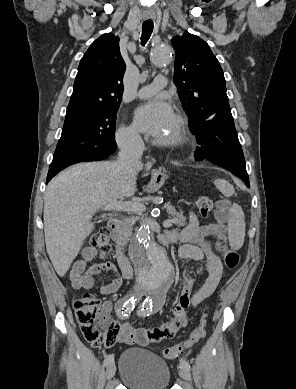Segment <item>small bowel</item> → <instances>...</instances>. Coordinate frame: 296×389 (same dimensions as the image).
<instances>
[{
  "mask_svg": "<svg viewBox=\"0 0 296 389\" xmlns=\"http://www.w3.org/2000/svg\"><path fill=\"white\" fill-rule=\"evenodd\" d=\"M216 217L217 222L215 224L201 225L196 214L190 212L189 223L185 228L180 232L172 231L167 234L173 242L179 241L181 243L178 252L181 262L193 260L201 263L206 271L203 285L197 291L192 292V281L190 278H186L184 292L173 310L170 321L153 328L134 327L129 322H124L119 326V342L146 346L158 344L165 339L174 337L187 323V309L189 307L198 308L214 294L225 270L221 256L214 251L211 242L206 237L209 235H224L225 223L229 218V207L225 200L218 202ZM96 254V250L92 247L83 249L80 258L70 271L71 284L78 290L90 289L95 284L94 277L96 275L102 271H109L114 274L113 279L107 284L97 286V288L102 295L114 294L122 286L125 277L112 262L94 263L89 266L95 259ZM104 306L108 312L112 309L110 301H106Z\"/></svg>",
  "mask_w": 296,
  "mask_h": 389,
  "instance_id": "obj_1",
  "label": "small bowel"
}]
</instances>
